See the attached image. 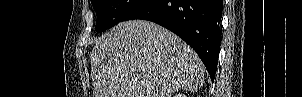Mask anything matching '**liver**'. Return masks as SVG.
I'll return each mask as SVG.
<instances>
[{
  "label": "liver",
  "mask_w": 302,
  "mask_h": 97,
  "mask_svg": "<svg viewBox=\"0 0 302 97\" xmlns=\"http://www.w3.org/2000/svg\"><path fill=\"white\" fill-rule=\"evenodd\" d=\"M94 97H171L201 88L205 67L171 31L149 21L121 22L90 55Z\"/></svg>",
  "instance_id": "obj_1"
}]
</instances>
